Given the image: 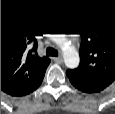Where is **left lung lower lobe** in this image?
I'll return each mask as SVG.
<instances>
[{
  "label": "left lung lower lobe",
  "instance_id": "obj_1",
  "mask_svg": "<svg viewBox=\"0 0 115 114\" xmlns=\"http://www.w3.org/2000/svg\"><path fill=\"white\" fill-rule=\"evenodd\" d=\"M69 79H70V82L73 84V86H75L77 89L86 93L99 92L107 87L101 84L77 81L70 77Z\"/></svg>",
  "mask_w": 115,
  "mask_h": 114
}]
</instances>
